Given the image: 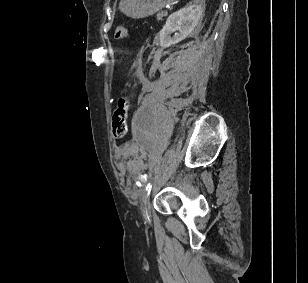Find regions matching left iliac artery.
Returning <instances> with one entry per match:
<instances>
[{"label": "left iliac artery", "mask_w": 308, "mask_h": 283, "mask_svg": "<svg viewBox=\"0 0 308 283\" xmlns=\"http://www.w3.org/2000/svg\"><path fill=\"white\" fill-rule=\"evenodd\" d=\"M151 188H152V184H148L145 188V192H144V195H143V201L145 202V200L147 199L150 191H151Z\"/></svg>", "instance_id": "obj_1"}]
</instances>
